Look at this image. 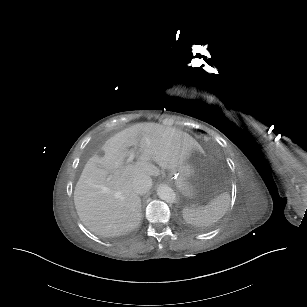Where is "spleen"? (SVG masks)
<instances>
[{
    "mask_svg": "<svg viewBox=\"0 0 307 307\" xmlns=\"http://www.w3.org/2000/svg\"><path fill=\"white\" fill-rule=\"evenodd\" d=\"M229 203L230 196L227 192H224L212 199L211 202L205 206H201L195 210L191 208L186 209L183 216L192 226H208L217 222L225 215Z\"/></svg>",
    "mask_w": 307,
    "mask_h": 307,
    "instance_id": "3e777b00",
    "label": "spleen"
}]
</instances>
